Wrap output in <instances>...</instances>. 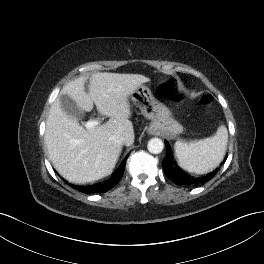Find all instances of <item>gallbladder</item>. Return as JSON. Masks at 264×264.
I'll use <instances>...</instances> for the list:
<instances>
[{"label":"gallbladder","instance_id":"obj_1","mask_svg":"<svg viewBox=\"0 0 264 264\" xmlns=\"http://www.w3.org/2000/svg\"><path fill=\"white\" fill-rule=\"evenodd\" d=\"M60 105L62 110L70 117L75 119H81L84 112L81 110L76 102L71 99L68 95H60Z\"/></svg>","mask_w":264,"mask_h":264}]
</instances>
